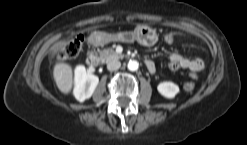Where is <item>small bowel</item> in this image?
<instances>
[{
  "mask_svg": "<svg viewBox=\"0 0 247 145\" xmlns=\"http://www.w3.org/2000/svg\"><path fill=\"white\" fill-rule=\"evenodd\" d=\"M169 67L171 70H188L190 76L196 78L198 73L204 68V61L201 58H187L181 54L173 53L170 55Z\"/></svg>",
  "mask_w": 247,
  "mask_h": 145,
  "instance_id": "c3829d8e",
  "label": "small bowel"
}]
</instances>
